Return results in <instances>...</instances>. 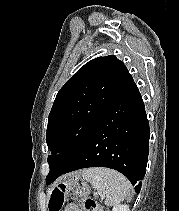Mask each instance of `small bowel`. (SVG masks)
Returning a JSON list of instances; mask_svg holds the SVG:
<instances>
[{
	"label": "small bowel",
	"instance_id": "c3829d8e",
	"mask_svg": "<svg viewBox=\"0 0 179 211\" xmlns=\"http://www.w3.org/2000/svg\"><path fill=\"white\" fill-rule=\"evenodd\" d=\"M64 211H82L76 204L70 203L68 204Z\"/></svg>",
	"mask_w": 179,
	"mask_h": 211
}]
</instances>
